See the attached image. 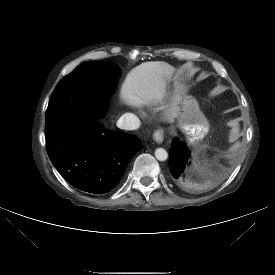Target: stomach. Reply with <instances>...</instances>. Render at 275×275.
Wrapping results in <instances>:
<instances>
[{
	"label": "stomach",
	"instance_id": "obj_1",
	"mask_svg": "<svg viewBox=\"0 0 275 275\" xmlns=\"http://www.w3.org/2000/svg\"><path fill=\"white\" fill-rule=\"evenodd\" d=\"M180 119L182 128L192 143L200 140L208 130L205 116L200 111L197 101L190 96H186L182 100Z\"/></svg>",
	"mask_w": 275,
	"mask_h": 275
}]
</instances>
